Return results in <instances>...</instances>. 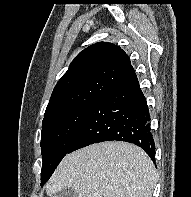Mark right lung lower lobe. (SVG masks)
<instances>
[{"instance_id":"98d812e1","label":"right lung lower lobe","mask_w":191,"mask_h":197,"mask_svg":"<svg viewBox=\"0 0 191 197\" xmlns=\"http://www.w3.org/2000/svg\"><path fill=\"white\" fill-rule=\"evenodd\" d=\"M109 140L133 143L155 160L149 109L137 77L116 85L95 104L67 154Z\"/></svg>"}]
</instances>
